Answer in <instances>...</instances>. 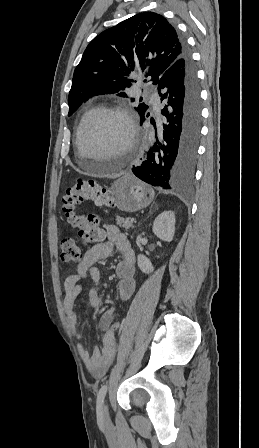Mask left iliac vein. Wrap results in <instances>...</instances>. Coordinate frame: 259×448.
<instances>
[{"label": "left iliac vein", "mask_w": 259, "mask_h": 448, "mask_svg": "<svg viewBox=\"0 0 259 448\" xmlns=\"http://www.w3.org/2000/svg\"><path fill=\"white\" fill-rule=\"evenodd\" d=\"M101 413H102V417L104 419V421H108L109 420V413H108V406L105 403L101 409Z\"/></svg>", "instance_id": "left-iliac-vein-1"}]
</instances>
